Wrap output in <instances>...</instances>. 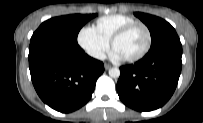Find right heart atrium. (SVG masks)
<instances>
[{"instance_id":"right-heart-atrium-1","label":"right heart atrium","mask_w":203,"mask_h":123,"mask_svg":"<svg viewBox=\"0 0 203 123\" xmlns=\"http://www.w3.org/2000/svg\"><path fill=\"white\" fill-rule=\"evenodd\" d=\"M79 46L92 58L102 59L109 49L110 42L95 27L84 26L77 35Z\"/></svg>"}]
</instances>
